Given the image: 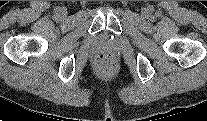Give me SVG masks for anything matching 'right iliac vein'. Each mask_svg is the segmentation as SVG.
Segmentation results:
<instances>
[{"mask_svg": "<svg viewBox=\"0 0 207 121\" xmlns=\"http://www.w3.org/2000/svg\"><path fill=\"white\" fill-rule=\"evenodd\" d=\"M60 14H61V16H65L66 15V12L64 10H61L60 11Z\"/></svg>", "mask_w": 207, "mask_h": 121, "instance_id": "1", "label": "right iliac vein"}]
</instances>
